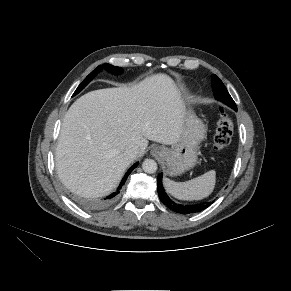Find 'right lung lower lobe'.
Masks as SVG:
<instances>
[{
    "mask_svg": "<svg viewBox=\"0 0 291 291\" xmlns=\"http://www.w3.org/2000/svg\"><path fill=\"white\" fill-rule=\"evenodd\" d=\"M138 165V162L135 163L126 173V175L124 176V178L122 179L121 183H120V186L118 187V189L113 192L112 194H110L109 196H107L106 198L104 199H101V200H98V201H90L88 202L87 204L91 207H100V206H105L109 203H111L114 199H115V196H117L120 192V189L121 187L124 185L128 175L133 171L134 168H136V166Z\"/></svg>",
    "mask_w": 291,
    "mask_h": 291,
    "instance_id": "98d812e1",
    "label": "right lung lower lobe"
}]
</instances>
